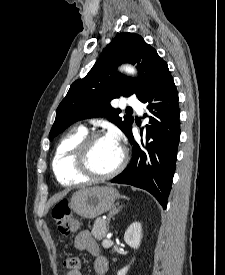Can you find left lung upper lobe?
<instances>
[{"label": "left lung upper lobe", "mask_w": 225, "mask_h": 275, "mask_svg": "<svg viewBox=\"0 0 225 275\" xmlns=\"http://www.w3.org/2000/svg\"><path fill=\"white\" fill-rule=\"evenodd\" d=\"M123 62L137 65L138 78H130L116 71V66ZM167 69V63L140 35L118 34L89 73L70 86L57 108L49 139L52 140L78 120L100 116L107 117L126 134L134 118L119 117L120 111L111 106V100L132 94L140 100Z\"/></svg>", "instance_id": "5c2ea615"}]
</instances>
